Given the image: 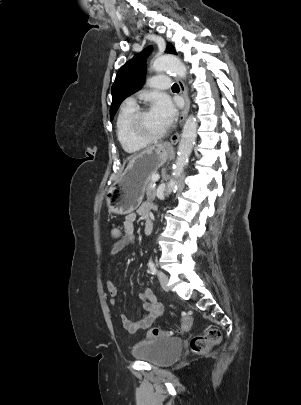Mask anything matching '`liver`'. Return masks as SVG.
I'll list each match as a JSON object with an SVG mask.
<instances>
[{
    "mask_svg": "<svg viewBox=\"0 0 301 405\" xmlns=\"http://www.w3.org/2000/svg\"><path fill=\"white\" fill-rule=\"evenodd\" d=\"M151 148H154V146H153V147L148 148L147 150H149V149H151ZM145 151H146V150H145ZM145 151H144V152H145Z\"/></svg>",
    "mask_w": 301,
    "mask_h": 405,
    "instance_id": "6515ba94",
    "label": "liver"
}]
</instances>
